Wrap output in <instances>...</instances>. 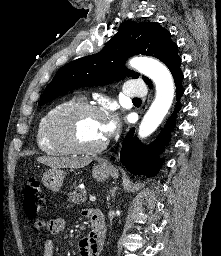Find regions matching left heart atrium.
<instances>
[{
    "mask_svg": "<svg viewBox=\"0 0 221 256\" xmlns=\"http://www.w3.org/2000/svg\"><path fill=\"white\" fill-rule=\"evenodd\" d=\"M117 127H118V120L115 116L104 118L103 132L105 136H109L112 133H114Z\"/></svg>",
    "mask_w": 221,
    "mask_h": 256,
    "instance_id": "obj_1",
    "label": "left heart atrium"
}]
</instances>
